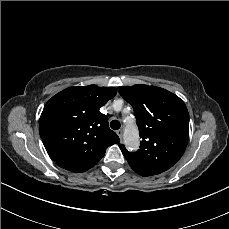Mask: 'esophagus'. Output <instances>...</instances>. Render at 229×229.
Wrapping results in <instances>:
<instances>
[{
  "label": "esophagus",
  "mask_w": 229,
  "mask_h": 229,
  "mask_svg": "<svg viewBox=\"0 0 229 229\" xmlns=\"http://www.w3.org/2000/svg\"><path fill=\"white\" fill-rule=\"evenodd\" d=\"M116 134L119 136L120 139H122V137H123V131H122V129H118L116 131Z\"/></svg>",
  "instance_id": "1"
}]
</instances>
